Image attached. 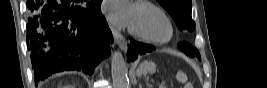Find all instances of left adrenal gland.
<instances>
[{
	"label": "left adrenal gland",
	"mask_w": 267,
	"mask_h": 88,
	"mask_svg": "<svg viewBox=\"0 0 267 88\" xmlns=\"http://www.w3.org/2000/svg\"><path fill=\"white\" fill-rule=\"evenodd\" d=\"M139 88H142L141 84H139Z\"/></svg>",
	"instance_id": "1"
}]
</instances>
